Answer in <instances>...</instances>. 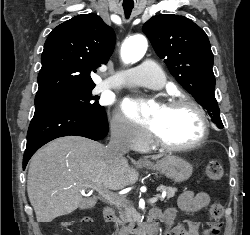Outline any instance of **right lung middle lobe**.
<instances>
[{
	"mask_svg": "<svg viewBox=\"0 0 250 235\" xmlns=\"http://www.w3.org/2000/svg\"><path fill=\"white\" fill-rule=\"evenodd\" d=\"M94 87L95 85L84 89L66 91L35 98V105L42 103L52 105H67L84 108L91 112L104 111L105 108L100 106L97 102L98 97L92 95V90Z\"/></svg>",
	"mask_w": 250,
	"mask_h": 235,
	"instance_id": "right-lung-middle-lobe-1",
	"label": "right lung middle lobe"
}]
</instances>
